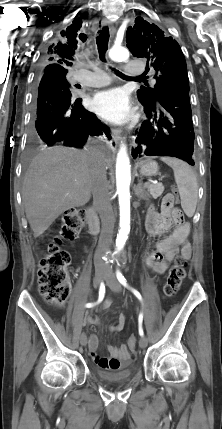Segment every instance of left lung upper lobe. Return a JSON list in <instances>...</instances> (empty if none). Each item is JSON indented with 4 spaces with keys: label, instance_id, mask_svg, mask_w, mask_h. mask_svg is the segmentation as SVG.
I'll return each instance as SVG.
<instances>
[{
    "label": "left lung upper lobe",
    "instance_id": "1",
    "mask_svg": "<svg viewBox=\"0 0 222 429\" xmlns=\"http://www.w3.org/2000/svg\"><path fill=\"white\" fill-rule=\"evenodd\" d=\"M135 23L127 30V47L135 57L152 60L157 72L154 89L141 86L138 98L154 103L168 85H177L189 91L186 61L177 41L165 36L158 26L141 17L136 18Z\"/></svg>",
    "mask_w": 222,
    "mask_h": 429
}]
</instances>
